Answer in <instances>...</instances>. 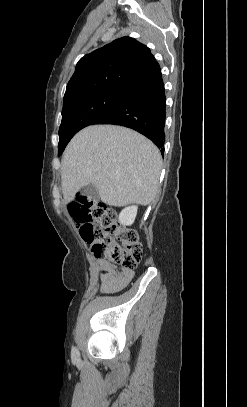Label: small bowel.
I'll use <instances>...</instances> for the list:
<instances>
[{"label":"small bowel","instance_id":"obj_1","mask_svg":"<svg viewBox=\"0 0 247 407\" xmlns=\"http://www.w3.org/2000/svg\"><path fill=\"white\" fill-rule=\"evenodd\" d=\"M97 267L100 271H104V273H98L101 281L100 290L104 293L123 289L135 275L133 269L118 268L105 260H98Z\"/></svg>","mask_w":247,"mask_h":407}]
</instances>
